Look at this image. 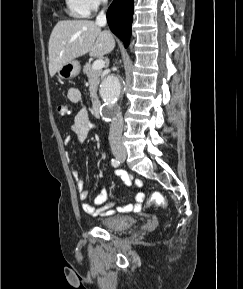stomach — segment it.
Listing matches in <instances>:
<instances>
[{
    "instance_id": "1",
    "label": "stomach",
    "mask_w": 243,
    "mask_h": 289,
    "mask_svg": "<svg viewBox=\"0 0 243 289\" xmlns=\"http://www.w3.org/2000/svg\"><path fill=\"white\" fill-rule=\"evenodd\" d=\"M58 76L62 79H71L76 77L80 72V63L72 60L59 68Z\"/></svg>"
}]
</instances>
